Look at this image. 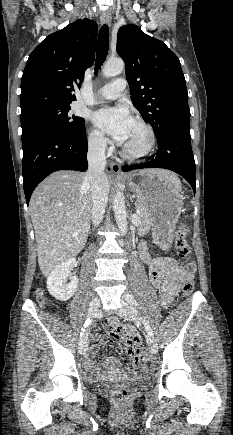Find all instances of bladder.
Listing matches in <instances>:
<instances>
[{"instance_id": "bladder-1", "label": "bladder", "mask_w": 233, "mask_h": 435, "mask_svg": "<svg viewBox=\"0 0 233 435\" xmlns=\"http://www.w3.org/2000/svg\"><path fill=\"white\" fill-rule=\"evenodd\" d=\"M148 378V376H142L140 378L137 379L138 382H143L144 380H146Z\"/></svg>"}]
</instances>
